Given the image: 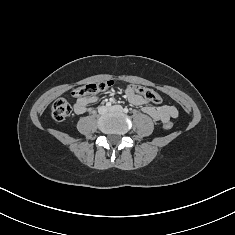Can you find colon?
Returning <instances> with one entry per match:
<instances>
[{
  "mask_svg": "<svg viewBox=\"0 0 235 235\" xmlns=\"http://www.w3.org/2000/svg\"><path fill=\"white\" fill-rule=\"evenodd\" d=\"M113 85V81H100V82H92L81 87L76 88L72 95L74 97L80 98L84 97L88 94L98 93L109 89ZM135 93L142 96L145 100L158 104L161 103L162 98L161 96L154 90L139 86V85H131L129 86ZM71 113V106L66 99L60 98L57 99L51 108L52 117L56 121H63L65 120ZM173 126L172 122H167L165 124L166 129H171Z\"/></svg>",
  "mask_w": 235,
  "mask_h": 235,
  "instance_id": "obj_1",
  "label": "colon"
}]
</instances>
